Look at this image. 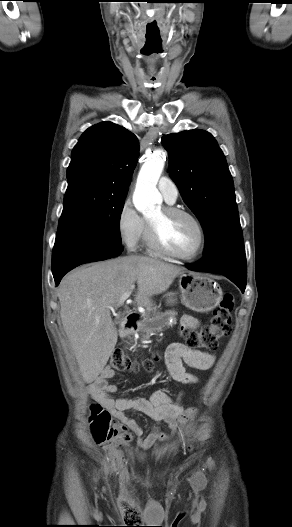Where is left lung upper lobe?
I'll return each mask as SVG.
<instances>
[{"label":"left lung upper lobe","mask_w":292,"mask_h":527,"mask_svg":"<svg viewBox=\"0 0 292 527\" xmlns=\"http://www.w3.org/2000/svg\"><path fill=\"white\" fill-rule=\"evenodd\" d=\"M161 139L170 176L204 229V257L244 250L233 179L214 137L190 130Z\"/></svg>","instance_id":"5c2ea615"}]
</instances>
